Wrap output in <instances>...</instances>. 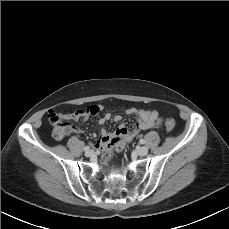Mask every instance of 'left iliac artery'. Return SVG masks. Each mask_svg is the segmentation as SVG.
Instances as JSON below:
<instances>
[{
  "mask_svg": "<svg viewBox=\"0 0 229 229\" xmlns=\"http://www.w3.org/2000/svg\"><path fill=\"white\" fill-rule=\"evenodd\" d=\"M139 142H140L141 144H144V143H145V140H144V139H141Z\"/></svg>",
  "mask_w": 229,
  "mask_h": 229,
  "instance_id": "44dca946",
  "label": "left iliac artery"
}]
</instances>
